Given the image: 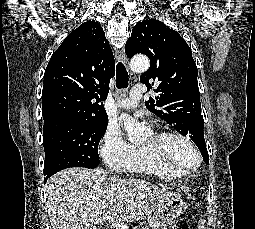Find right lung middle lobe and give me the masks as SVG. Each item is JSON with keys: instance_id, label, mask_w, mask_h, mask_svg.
I'll list each match as a JSON object with an SVG mask.
<instances>
[{"instance_id": "dd1d6c3e", "label": "right lung middle lobe", "mask_w": 255, "mask_h": 229, "mask_svg": "<svg viewBox=\"0 0 255 229\" xmlns=\"http://www.w3.org/2000/svg\"><path fill=\"white\" fill-rule=\"evenodd\" d=\"M108 119L44 122V175L69 167L96 168L99 165L98 145L106 132Z\"/></svg>"}]
</instances>
